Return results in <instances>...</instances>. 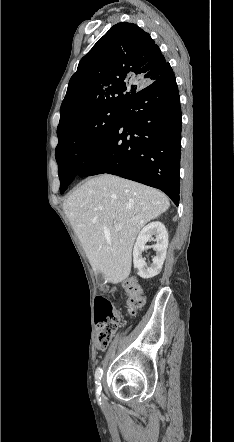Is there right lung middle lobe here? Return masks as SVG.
Masks as SVG:
<instances>
[{
	"label": "right lung middle lobe",
	"instance_id": "obj_1",
	"mask_svg": "<svg viewBox=\"0 0 234 442\" xmlns=\"http://www.w3.org/2000/svg\"><path fill=\"white\" fill-rule=\"evenodd\" d=\"M121 113V106L97 110L76 121L58 137L55 156L59 167L60 192L75 178L85 158L110 134Z\"/></svg>",
	"mask_w": 234,
	"mask_h": 442
}]
</instances>
